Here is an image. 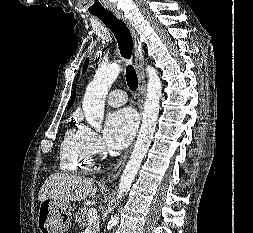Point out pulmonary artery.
Segmentation results:
<instances>
[{
	"instance_id": "1",
	"label": "pulmonary artery",
	"mask_w": 253,
	"mask_h": 233,
	"mask_svg": "<svg viewBox=\"0 0 253 233\" xmlns=\"http://www.w3.org/2000/svg\"><path fill=\"white\" fill-rule=\"evenodd\" d=\"M107 103L113 107H120L127 102V95L123 90H113L107 96Z\"/></svg>"
}]
</instances>
